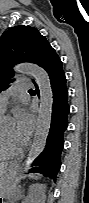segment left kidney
<instances>
[{
	"instance_id": "1",
	"label": "left kidney",
	"mask_w": 89,
	"mask_h": 203,
	"mask_svg": "<svg viewBox=\"0 0 89 203\" xmlns=\"http://www.w3.org/2000/svg\"><path fill=\"white\" fill-rule=\"evenodd\" d=\"M34 187L37 190L35 194V199L32 203H45L46 200V195H45V190H46V186L44 184H34ZM26 203V202H23Z\"/></svg>"
}]
</instances>
